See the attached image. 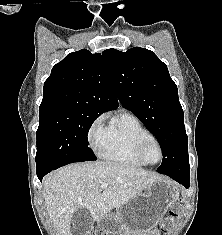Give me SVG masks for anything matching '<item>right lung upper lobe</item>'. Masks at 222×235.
I'll list each match as a JSON object with an SVG mask.
<instances>
[{
    "label": "right lung upper lobe",
    "instance_id": "right-lung-upper-lobe-1",
    "mask_svg": "<svg viewBox=\"0 0 222 235\" xmlns=\"http://www.w3.org/2000/svg\"><path fill=\"white\" fill-rule=\"evenodd\" d=\"M117 107L118 100L102 55L83 49L54 65L44 82L39 111L65 108L102 114Z\"/></svg>",
    "mask_w": 222,
    "mask_h": 235
}]
</instances>
